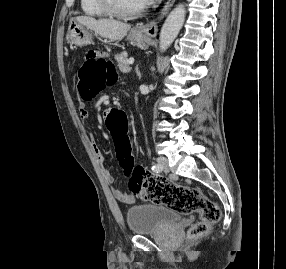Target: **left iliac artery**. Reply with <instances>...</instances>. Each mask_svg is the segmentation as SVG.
I'll use <instances>...</instances> for the list:
<instances>
[{"mask_svg": "<svg viewBox=\"0 0 286 269\" xmlns=\"http://www.w3.org/2000/svg\"><path fill=\"white\" fill-rule=\"evenodd\" d=\"M152 170L155 171V172H160V171L163 170V167L160 164H156V165L152 166Z\"/></svg>", "mask_w": 286, "mask_h": 269, "instance_id": "44dca946", "label": "left iliac artery"}]
</instances>
